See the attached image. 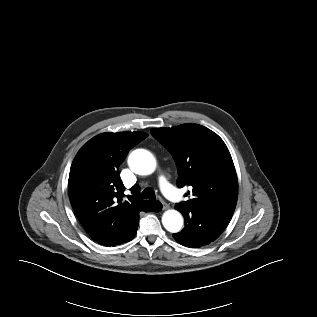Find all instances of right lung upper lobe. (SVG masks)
Segmentation results:
<instances>
[{"mask_svg":"<svg viewBox=\"0 0 317 317\" xmlns=\"http://www.w3.org/2000/svg\"><path fill=\"white\" fill-rule=\"evenodd\" d=\"M147 136L144 132L99 134L72 162L68 180L71 205L86 232L104 236L108 246L120 244L139 212L154 203L140 200L136 186L131 188L135 194L124 199L125 187L118 174L129 150Z\"/></svg>","mask_w":317,"mask_h":317,"instance_id":"cb5924a9","label":"right lung upper lobe"}]
</instances>
